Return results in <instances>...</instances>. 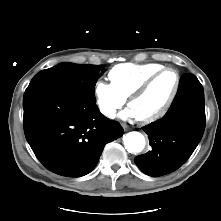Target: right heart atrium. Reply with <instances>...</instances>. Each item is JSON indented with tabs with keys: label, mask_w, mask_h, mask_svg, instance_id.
<instances>
[{
	"label": "right heart atrium",
	"mask_w": 221,
	"mask_h": 221,
	"mask_svg": "<svg viewBox=\"0 0 221 221\" xmlns=\"http://www.w3.org/2000/svg\"><path fill=\"white\" fill-rule=\"evenodd\" d=\"M94 97L100 113L113 119L117 111L124 105L125 99L116 91L112 84L98 80L94 85Z\"/></svg>",
	"instance_id": "right-heart-atrium-1"
}]
</instances>
